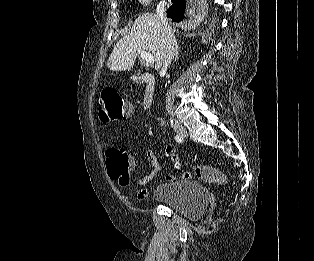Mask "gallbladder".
Here are the masks:
<instances>
[{
    "instance_id": "1",
    "label": "gallbladder",
    "mask_w": 314,
    "mask_h": 261,
    "mask_svg": "<svg viewBox=\"0 0 314 261\" xmlns=\"http://www.w3.org/2000/svg\"><path fill=\"white\" fill-rule=\"evenodd\" d=\"M141 74V72L140 71H138L137 73H136V75H140Z\"/></svg>"
}]
</instances>
